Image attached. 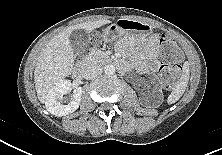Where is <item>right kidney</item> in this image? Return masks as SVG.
I'll return each mask as SVG.
<instances>
[{"instance_id": "ca27d5eb", "label": "right kidney", "mask_w": 222, "mask_h": 155, "mask_svg": "<svg viewBox=\"0 0 222 155\" xmlns=\"http://www.w3.org/2000/svg\"><path fill=\"white\" fill-rule=\"evenodd\" d=\"M70 88V80H61L50 89L45 106L51 114L61 117L73 113L78 109L82 96L81 87L73 90V98L68 104H63V95L67 94Z\"/></svg>"}]
</instances>
